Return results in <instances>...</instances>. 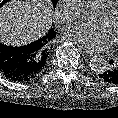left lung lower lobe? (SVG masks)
<instances>
[{
    "mask_svg": "<svg viewBox=\"0 0 118 118\" xmlns=\"http://www.w3.org/2000/svg\"><path fill=\"white\" fill-rule=\"evenodd\" d=\"M106 70L99 76L108 83L118 84V55L110 59Z\"/></svg>",
    "mask_w": 118,
    "mask_h": 118,
    "instance_id": "1",
    "label": "left lung lower lobe"
}]
</instances>
